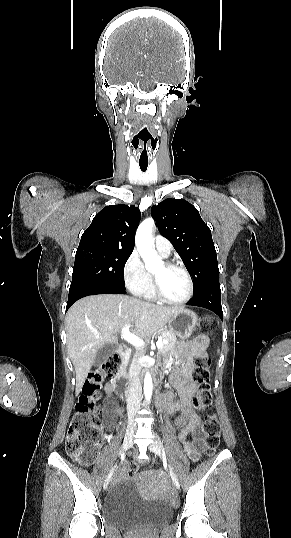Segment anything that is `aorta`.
Wrapping results in <instances>:
<instances>
[{
    "label": "aorta",
    "mask_w": 291,
    "mask_h": 538,
    "mask_svg": "<svg viewBox=\"0 0 291 538\" xmlns=\"http://www.w3.org/2000/svg\"><path fill=\"white\" fill-rule=\"evenodd\" d=\"M154 226V220L147 218L138 226L136 232V246L139 254L141 255L146 269L153 270L163 265V261L157 255L152 248V230ZM153 383L152 376L149 372H146L144 378V395L146 403H149L152 398Z\"/></svg>",
    "instance_id": "762f6f07"
}]
</instances>
